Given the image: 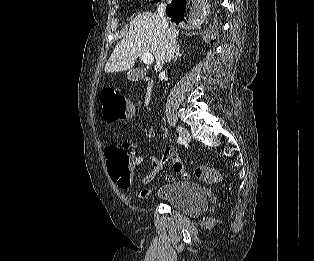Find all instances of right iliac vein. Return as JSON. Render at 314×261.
<instances>
[{
  "instance_id": "right-iliac-vein-1",
  "label": "right iliac vein",
  "mask_w": 314,
  "mask_h": 261,
  "mask_svg": "<svg viewBox=\"0 0 314 261\" xmlns=\"http://www.w3.org/2000/svg\"><path fill=\"white\" fill-rule=\"evenodd\" d=\"M177 131L183 140L190 141V139H191L190 133L188 132V130L185 127L178 125Z\"/></svg>"
}]
</instances>
